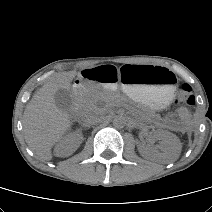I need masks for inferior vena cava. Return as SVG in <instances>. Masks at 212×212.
<instances>
[{"label":"inferior vena cava","instance_id":"obj_1","mask_svg":"<svg viewBox=\"0 0 212 212\" xmlns=\"http://www.w3.org/2000/svg\"><path fill=\"white\" fill-rule=\"evenodd\" d=\"M102 116L97 111H90L83 117V123L85 126H90L101 122Z\"/></svg>","mask_w":212,"mask_h":212}]
</instances>
